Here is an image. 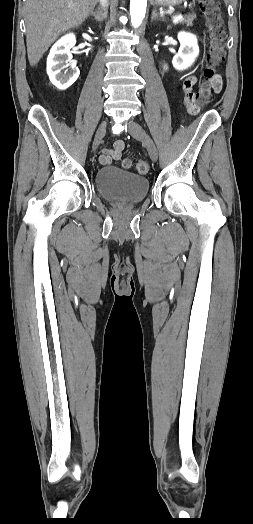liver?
<instances>
[{"mask_svg": "<svg viewBox=\"0 0 253 524\" xmlns=\"http://www.w3.org/2000/svg\"><path fill=\"white\" fill-rule=\"evenodd\" d=\"M98 0H27L26 43L35 66L59 35L81 25Z\"/></svg>", "mask_w": 253, "mask_h": 524, "instance_id": "liver-1", "label": "liver"}]
</instances>
